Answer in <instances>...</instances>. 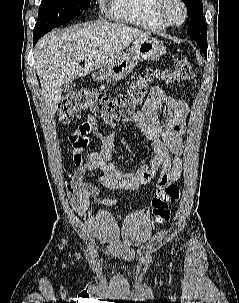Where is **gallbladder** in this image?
<instances>
[{"label":"gallbladder","mask_w":239,"mask_h":303,"mask_svg":"<svg viewBox=\"0 0 239 303\" xmlns=\"http://www.w3.org/2000/svg\"><path fill=\"white\" fill-rule=\"evenodd\" d=\"M74 88H75L74 81L64 82L63 85H62V91L63 92H68V91H70Z\"/></svg>","instance_id":"gallbladder-1"}]
</instances>
